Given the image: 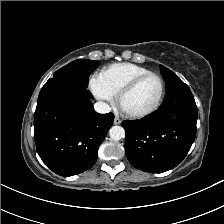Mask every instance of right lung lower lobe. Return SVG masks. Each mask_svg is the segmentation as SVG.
<instances>
[{
    "mask_svg": "<svg viewBox=\"0 0 224 224\" xmlns=\"http://www.w3.org/2000/svg\"><path fill=\"white\" fill-rule=\"evenodd\" d=\"M90 91L67 81L48 80L34 116V137L42 161L56 174L73 176L91 168L114 115L98 114Z\"/></svg>",
    "mask_w": 224,
    "mask_h": 224,
    "instance_id": "1",
    "label": "right lung lower lobe"
}]
</instances>
